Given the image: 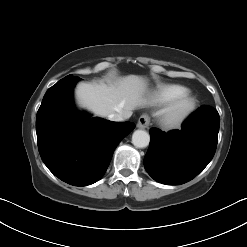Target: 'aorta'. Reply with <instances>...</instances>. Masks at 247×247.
Instances as JSON below:
<instances>
[{"label": "aorta", "mask_w": 247, "mask_h": 247, "mask_svg": "<svg viewBox=\"0 0 247 247\" xmlns=\"http://www.w3.org/2000/svg\"><path fill=\"white\" fill-rule=\"evenodd\" d=\"M150 141L149 134L144 130H136L132 135V143L137 148H145Z\"/></svg>", "instance_id": "obj_1"}]
</instances>
